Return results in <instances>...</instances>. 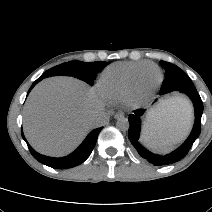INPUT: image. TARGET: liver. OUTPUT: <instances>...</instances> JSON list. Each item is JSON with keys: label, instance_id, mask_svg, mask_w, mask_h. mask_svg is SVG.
Listing matches in <instances>:
<instances>
[{"label": "liver", "instance_id": "obj_1", "mask_svg": "<svg viewBox=\"0 0 212 212\" xmlns=\"http://www.w3.org/2000/svg\"><path fill=\"white\" fill-rule=\"evenodd\" d=\"M103 109L94 88L69 77L47 78L30 93L24 107V132L39 152L63 156L73 151L94 128L92 118ZM191 110L177 98L160 103L148 115L144 129L178 140L189 130Z\"/></svg>", "mask_w": 212, "mask_h": 212}]
</instances>
